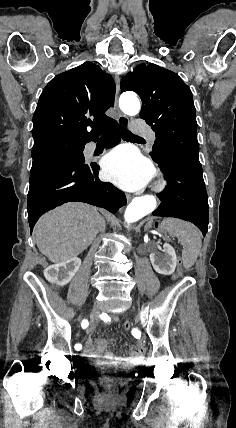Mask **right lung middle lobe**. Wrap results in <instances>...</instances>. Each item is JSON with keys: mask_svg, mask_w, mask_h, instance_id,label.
Instances as JSON below:
<instances>
[{"mask_svg": "<svg viewBox=\"0 0 236 428\" xmlns=\"http://www.w3.org/2000/svg\"><path fill=\"white\" fill-rule=\"evenodd\" d=\"M84 145L85 141L74 139L50 140L36 144L32 148V167L55 159L84 162Z\"/></svg>", "mask_w": 236, "mask_h": 428, "instance_id": "dd1d6c3e", "label": "right lung middle lobe"}]
</instances>
